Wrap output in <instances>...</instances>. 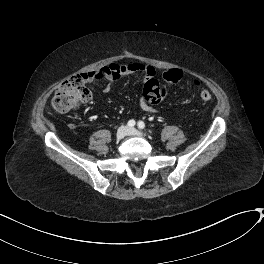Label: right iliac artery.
<instances>
[{"label": "right iliac artery", "mask_w": 264, "mask_h": 264, "mask_svg": "<svg viewBox=\"0 0 264 264\" xmlns=\"http://www.w3.org/2000/svg\"><path fill=\"white\" fill-rule=\"evenodd\" d=\"M135 124H136L135 120H130V121H128V123H127L128 127H134Z\"/></svg>", "instance_id": "obj_1"}]
</instances>
